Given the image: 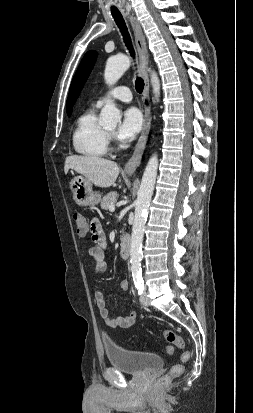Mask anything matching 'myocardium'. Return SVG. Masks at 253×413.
Returning a JSON list of instances; mask_svg holds the SVG:
<instances>
[{
    "mask_svg": "<svg viewBox=\"0 0 253 413\" xmlns=\"http://www.w3.org/2000/svg\"><path fill=\"white\" fill-rule=\"evenodd\" d=\"M105 131H106V134H107L108 138L112 136V132H111V131H109V130H105Z\"/></svg>",
    "mask_w": 253,
    "mask_h": 413,
    "instance_id": "1",
    "label": "myocardium"
}]
</instances>
